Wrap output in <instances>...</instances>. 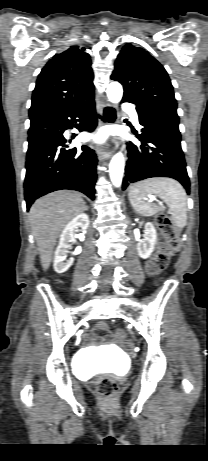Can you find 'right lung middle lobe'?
Segmentation results:
<instances>
[{
	"label": "right lung middle lobe",
	"instance_id": "right-lung-middle-lobe-1",
	"mask_svg": "<svg viewBox=\"0 0 208 461\" xmlns=\"http://www.w3.org/2000/svg\"><path fill=\"white\" fill-rule=\"evenodd\" d=\"M39 122H41V121L31 120V126H34V125L38 124Z\"/></svg>",
	"mask_w": 208,
	"mask_h": 461
}]
</instances>
